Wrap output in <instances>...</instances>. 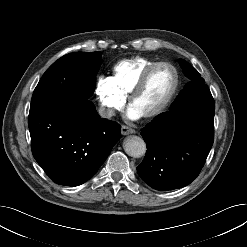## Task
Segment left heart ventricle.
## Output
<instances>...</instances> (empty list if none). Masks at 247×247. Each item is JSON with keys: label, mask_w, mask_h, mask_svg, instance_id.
Listing matches in <instances>:
<instances>
[{"label": "left heart ventricle", "mask_w": 247, "mask_h": 247, "mask_svg": "<svg viewBox=\"0 0 247 247\" xmlns=\"http://www.w3.org/2000/svg\"><path fill=\"white\" fill-rule=\"evenodd\" d=\"M174 83L173 70L166 65L157 67L149 76L131 107L141 116L156 109L167 97Z\"/></svg>", "instance_id": "left-heart-ventricle-1"}]
</instances>
